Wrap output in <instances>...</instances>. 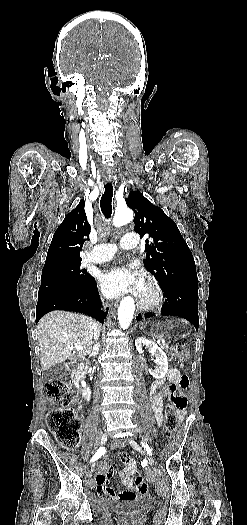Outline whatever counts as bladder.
<instances>
[{
    "label": "bladder",
    "mask_w": 247,
    "mask_h": 525,
    "mask_svg": "<svg viewBox=\"0 0 247 525\" xmlns=\"http://www.w3.org/2000/svg\"><path fill=\"white\" fill-rule=\"evenodd\" d=\"M157 500L149 495H137L131 499L116 500L112 506V511L120 515H132L142 513L151 509Z\"/></svg>",
    "instance_id": "bladder-1"
}]
</instances>
